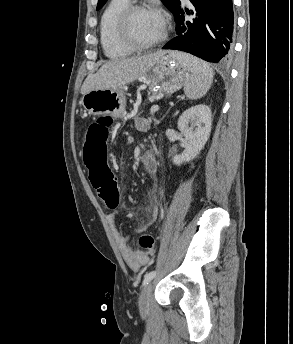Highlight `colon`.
<instances>
[{"instance_id":"5ec220e1","label":"colon","mask_w":293,"mask_h":344,"mask_svg":"<svg viewBox=\"0 0 293 344\" xmlns=\"http://www.w3.org/2000/svg\"><path fill=\"white\" fill-rule=\"evenodd\" d=\"M111 125L110 117H102L88 126L83 156L96 193L108 208L114 209L119 205L120 193L116 178L108 167V140ZM154 252V237L150 234H142L138 239L137 253L141 257H149Z\"/></svg>"}]
</instances>
